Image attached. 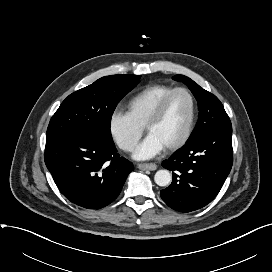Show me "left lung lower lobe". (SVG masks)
Wrapping results in <instances>:
<instances>
[{
  "instance_id": "0a47b994",
  "label": "left lung lower lobe",
  "mask_w": 272,
  "mask_h": 272,
  "mask_svg": "<svg viewBox=\"0 0 272 272\" xmlns=\"http://www.w3.org/2000/svg\"><path fill=\"white\" fill-rule=\"evenodd\" d=\"M233 164L232 126L207 130L191 137L162 166L173 174L172 183L160 194L180 212L198 210L221 190Z\"/></svg>"
}]
</instances>
